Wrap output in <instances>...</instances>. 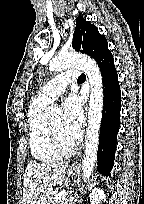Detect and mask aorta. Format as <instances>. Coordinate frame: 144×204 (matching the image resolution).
Listing matches in <instances>:
<instances>
[{"label": "aorta", "mask_w": 144, "mask_h": 204, "mask_svg": "<svg viewBox=\"0 0 144 204\" xmlns=\"http://www.w3.org/2000/svg\"><path fill=\"white\" fill-rule=\"evenodd\" d=\"M73 66L79 67L82 71H84L90 84L88 126L82 168L83 180L86 182L93 172L97 158L104 103L103 80L100 68L96 61L82 54H58L49 63V69L51 71H62ZM61 113V109L56 106L48 107L46 109V114L50 118L59 116Z\"/></svg>", "instance_id": "aorta-1"}]
</instances>
